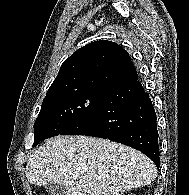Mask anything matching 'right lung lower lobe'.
I'll list each match as a JSON object with an SVG mask.
<instances>
[{
    "mask_svg": "<svg viewBox=\"0 0 189 195\" xmlns=\"http://www.w3.org/2000/svg\"><path fill=\"white\" fill-rule=\"evenodd\" d=\"M156 113L136 80L110 92L80 122L61 135L106 138L135 148L160 166Z\"/></svg>",
    "mask_w": 189,
    "mask_h": 195,
    "instance_id": "98d812e1",
    "label": "right lung lower lobe"
}]
</instances>
